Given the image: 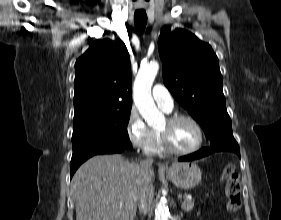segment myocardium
<instances>
[{
  "mask_svg": "<svg viewBox=\"0 0 281 220\" xmlns=\"http://www.w3.org/2000/svg\"><path fill=\"white\" fill-rule=\"evenodd\" d=\"M180 120H187V121L191 122L198 132V142L193 148H191L189 150L176 149L171 144L167 130H164V131L158 130L159 139H160V142H161V145H162L164 151H166L170 154H175V155H190V154L197 152L202 147V144L204 141V132H203V129H202V126L200 125V123L194 117H192L190 115L177 113V114L168 116L166 119L168 126H171Z\"/></svg>",
  "mask_w": 281,
  "mask_h": 220,
  "instance_id": "f54148a6",
  "label": "myocardium"
}]
</instances>
